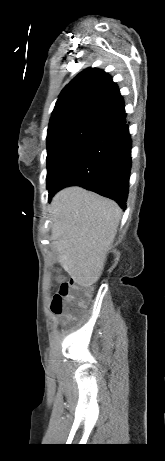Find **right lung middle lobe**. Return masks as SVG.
<instances>
[{"mask_svg": "<svg viewBox=\"0 0 165 461\" xmlns=\"http://www.w3.org/2000/svg\"><path fill=\"white\" fill-rule=\"evenodd\" d=\"M106 121L94 115L56 119L47 132V186L87 138Z\"/></svg>", "mask_w": 165, "mask_h": 461, "instance_id": "obj_1", "label": "right lung middle lobe"}]
</instances>
